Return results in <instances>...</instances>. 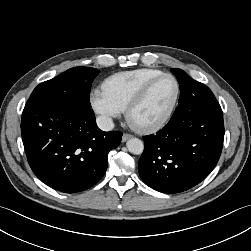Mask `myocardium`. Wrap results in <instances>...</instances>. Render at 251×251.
<instances>
[{"instance_id": "myocardium-1", "label": "myocardium", "mask_w": 251, "mask_h": 251, "mask_svg": "<svg viewBox=\"0 0 251 251\" xmlns=\"http://www.w3.org/2000/svg\"><path fill=\"white\" fill-rule=\"evenodd\" d=\"M163 78H171L175 83V94H174L173 100H172L170 106L168 107L167 111L159 119L152 121V122L142 123V122L136 121L134 118V113H135L136 109L144 102V100L146 99L151 88L158 81H160ZM180 92H181L180 83H179L178 79L173 74L162 73V74L152 78L140 89V91L136 94V96L131 100V102L127 106V108H126L127 121L129 122V124L133 128H135L136 130L141 131V132H153V131H157V130L161 129L171 119V117L176 109V106H177V103H178V100L180 97Z\"/></svg>"}]
</instances>
